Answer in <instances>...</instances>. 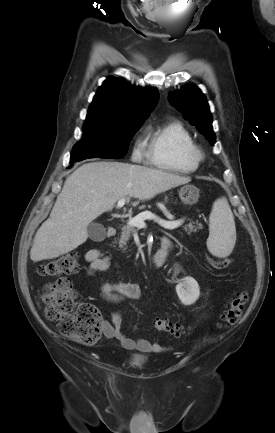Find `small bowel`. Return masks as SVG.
Segmentation results:
<instances>
[{"instance_id":"small-bowel-1","label":"small bowel","mask_w":275,"mask_h":433,"mask_svg":"<svg viewBox=\"0 0 275 433\" xmlns=\"http://www.w3.org/2000/svg\"><path fill=\"white\" fill-rule=\"evenodd\" d=\"M170 240L163 238L162 242ZM171 245V243H170ZM85 261L88 264V274L104 271L109 267V258L99 249H90L85 253ZM141 290L139 285L131 282H106L101 286V297L107 303H118L125 299H138ZM103 334L106 338L116 339L128 350H137L144 353L162 352L165 347L157 342L145 339H131L122 331V316L113 313L110 321L102 322Z\"/></svg>"}]
</instances>
